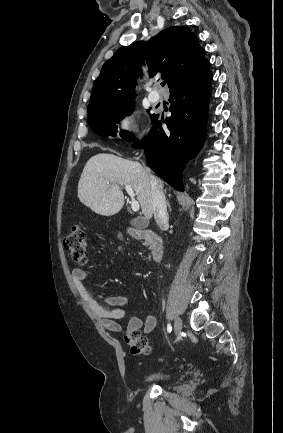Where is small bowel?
Instances as JSON below:
<instances>
[{
	"label": "small bowel",
	"mask_w": 283,
	"mask_h": 433,
	"mask_svg": "<svg viewBox=\"0 0 283 433\" xmlns=\"http://www.w3.org/2000/svg\"><path fill=\"white\" fill-rule=\"evenodd\" d=\"M91 275V271L76 268L72 271V280L80 297L103 319L106 329L112 332H119L121 326L117 320L123 318L127 310L124 308L130 301L125 295L103 296L99 298L106 304L103 305L96 299L84 281ZM156 317L153 314H147L145 318L133 316L130 318L127 331L143 330L145 334L151 333L156 326Z\"/></svg>",
	"instance_id": "c3829d8e"
}]
</instances>
